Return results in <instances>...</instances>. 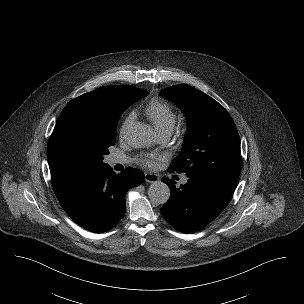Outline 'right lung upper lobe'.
<instances>
[{
  "label": "right lung upper lobe",
  "mask_w": 304,
  "mask_h": 304,
  "mask_svg": "<svg viewBox=\"0 0 304 304\" xmlns=\"http://www.w3.org/2000/svg\"><path fill=\"white\" fill-rule=\"evenodd\" d=\"M132 86H106L83 94L61 112L47 146L51 180L57 198L63 196L96 167L89 159L75 150L66 140L69 121L84 113H91L118 106Z\"/></svg>",
  "instance_id": "right-lung-upper-lobe-1"
}]
</instances>
